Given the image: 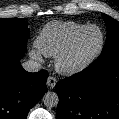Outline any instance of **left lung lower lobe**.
<instances>
[{
  "instance_id": "obj_1",
  "label": "left lung lower lobe",
  "mask_w": 119,
  "mask_h": 119,
  "mask_svg": "<svg viewBox=\"0 0 119 119\" xmlns=\"http://www.w3.org/2000/svg\"><path fill=\"white\" fill-rule=\"evenodd\" d=\"M56 119H119V60L87 69L56 84Z\"/></svg>"
}]
</instances>
